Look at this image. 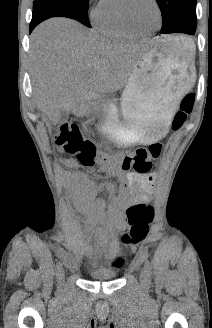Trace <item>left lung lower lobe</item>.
Wrapping results in <instances>:
<instances>
[{
  "instance_id": "0a47b994",
  "label": "left lung lower lobe",
  "mask_w": 212,
  "mask_h": 328,
  "mask_svg": "<svg viewBox=\"0 0 212 328\" xmlns=\"http://www.w3.org/2000/svg\"><path fill=\"white\" fill-rule=\"evenodd\" d=\"M186 34L194 35V34H195V31H193V32H189V33H186Z\"/></svg>"
}]
</instances>
